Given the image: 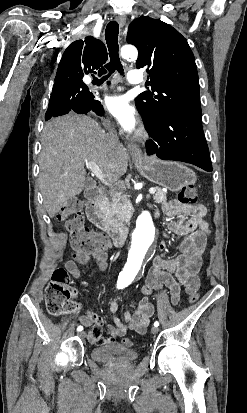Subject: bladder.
I'll return each instance as SVG.
<instances>
[{
    "instance_id": "31cf9c89",
    "label": "bladder",
    "mask_w": 247,
    "mask_h": 413,
    "mask_svg": "<svg viewBox=\"0 0 247 413\" xmlns=\"http://www.w3.org/2000/svg\"><path fill=\"white\" fill-rule=\"evenodd\" d=\"M91 357L96 362L107 364L132 363L138 356L131 348H124L119 343H108L91 350Z\"/></svg>"
}]
</instances>
